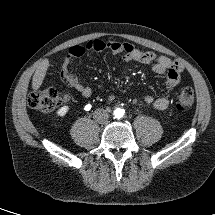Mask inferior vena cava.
<instances>
[{
	"label": "inferior vena cava",
	"mask_w": 215,
	"mask_h": 215,
	"mask_svg": "<svg viewBox=\"0 0 215 215\" xmlns=\"http://www.w3.org/2000/svg\"><path fill=\"white\" fill-rule=\"evenodd\" d=\"M93 117H94L95 120H97L99 122H103V121H105L107 119V113L103 109H97L94 112Z\"/></svg>",
	"instance_id": "obj_1"
}]
</instances>
